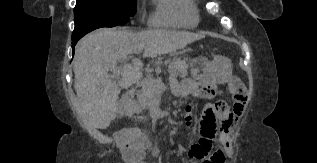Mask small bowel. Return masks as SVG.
I'll use <instances>...</instances> for the list:
<instances>
[{
    "label": "small bowel",
    "mask_w": 317,
    "mask_h": 163,
    "mask_svg": "<svg viewBox=\"0 0 317 163\" xmlns=\"http://www.w3.org/2000/svg\"><path fill=\"white\" fill-rule=\"evenodd\" d=\"M218 87V82L210 78L201 84H196L192 81H185L182 84H176L173 86L172 91L174 95L181 102L192 94H198L201 98L211 99L215 96ZM245 89V88H244ZM246 91V90H245ZM247 99L244 98L240 104L234 105L233 111H230L225 106V109L220 117L219 129L215 133H204L200 131L199 140L192 144L188 150V156L191 159V163H225L226 156L224 148L230 144V132L234 125L243 116ZM192 110L193 107L188 105L187 111V124L192 125ZM135 130H126L119 136V141L125 142V161L127 163H138L134 160L129 152L133 149L132 141L135 139Z\"/></svg>",
    "instance_id": "small-bowel-1"
}]
</instances>
